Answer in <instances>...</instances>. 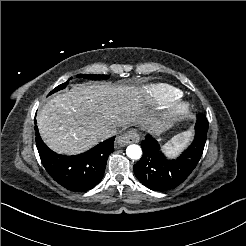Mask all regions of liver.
Masks as SVG:
<instances>
[{"instance_id":"obj_1","label":"liver","mask_w":246,"mask_h":246,"mask_svg":"<svg viewBox=\"0 0 246 246\" xmlns=\"http://www.w3.org/2000/svg\"><path fill=\"white\" fill-rule=\"evenodd\" d=\"M147 110L136 92L110 84L75 85L38 113L40 135L59 154H79L108 138L110 130L143 123Z\"/></svg>"}]
</instances>
